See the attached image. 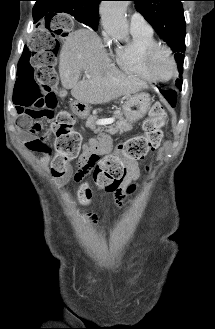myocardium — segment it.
<instances>
[{"mask_svg": "<svg viewBox=\"0 0 215 329\" xmlns=\"http://www.w3.org/2000/svg\"><path fill=\"white\" fill-rule=\"evenodd\" d=\"M160 51L167 52V54L169 55V58L172 62V65H173V71H172L171 75L167 78H161V77L157 76V74L155 73L154 67H153L154 58H155L156 54ZM144 67H145L146 71L148 72V74L151 76V78L156 82H168L171 79H173L178 72L177 61H176L175 55L173 53V50L168 45L159 44V43L151 46L146 51V53L144 55Z\"/></svg>", "mask_w": 215, "mask_h": 329, "instance_id": "1", "label": "myocardium"}]
</instances>
